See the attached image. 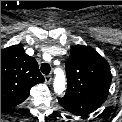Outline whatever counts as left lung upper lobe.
I'll return each instance as SVG.
<instances>
[{
  "label": "left lung upper lobe",
  "mask_w": 122,
  "mask_h": 122,
  "mask_svg": "<svg viewBox=\"0 0 122 122\" xmlns=\"http://www.w3.org/2000/svg\"><path fill=\"white\" fill-rule=\"evenodd\" d=\"M67 91L59 103L69 112L86 116L106 100L112 80L108 62L91 47L75 45L66 62Z\"/></svg>",
  "instance_id": "1"
}]
</instances>
